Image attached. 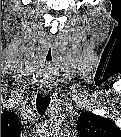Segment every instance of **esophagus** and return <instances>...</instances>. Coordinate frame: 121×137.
<instances>
[{
	"instance_id": "esophagus-1",
	"label": "esophagus",
	"mask_w": 121,
	"mask_h": 137,
	"mask_svg": "<svg viewBox=\"0 0 121 137\" xmlns=\"http://www.w3.org/2000/svg\"><path fill=\"white\" fill-rule=\"evenodd\" d=\"M43 93H44V94H47V93H48V90L44 89V90H43Z\"/></svg>"
}]
</instances>
